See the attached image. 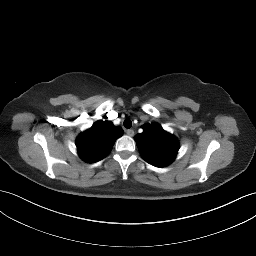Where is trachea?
<instances>
[{
	"label": "trachea",
	"instance_id": "1",
	"mask_svg": "<svg viewBox=\"0 0 256 256\" xmlns=\"http://www.w3.org/2000/svg\"><path fill=\"white\" fill-rule=\"evenodd\" d=\"M123 124H124V127L127 129L131 128L132 126V122L130 119H125Z\"/></svg>",
	"mask_w": 256,
	"mask_h": 256
}]
</instances>
